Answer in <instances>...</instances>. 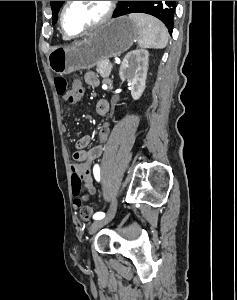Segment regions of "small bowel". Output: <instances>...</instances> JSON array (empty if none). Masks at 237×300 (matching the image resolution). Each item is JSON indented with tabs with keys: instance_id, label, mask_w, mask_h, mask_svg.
<instances>
[{
	"instance_id": "c3829d8e",
	"label": "small bowel",
	"mask_w": 237,
	"mask_h": 300,
	"mask_svg": "<svg viewBox=\"0 0 237 300\" xmlns=\"http://www.w3.org/2000/svg\"><path fill=\"white\" fill-rule=\"evenodd\" d=\"M84 81L88 86L95 87L98 85V76L93 72H88L84 76ZM82 87L80 80H74L71 84V92ZM96 113L103 119H106L109 113V103L105 99H101L96 103ZM110 136V124L104 121L99 128V140L105 143ZM91 137L86 135L81 137L75 143L76 151L73 154L75 163L71 165V171H77L87 189L88 195L92 196L95 193L92 176V163L97 160L102 154V146L94 145L89 148Z\"/></svg>"
}]
</instances>
